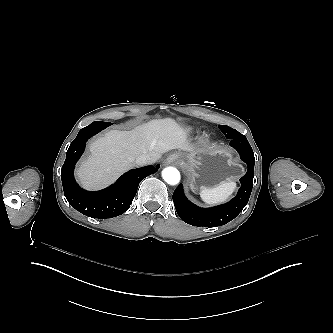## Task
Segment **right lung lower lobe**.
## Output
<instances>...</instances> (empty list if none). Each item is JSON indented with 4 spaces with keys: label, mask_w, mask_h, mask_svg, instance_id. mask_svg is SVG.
Here are the masks:
<instances>
[{
    "label": "right lung lower lobe",
    "mask_w": 333,
    "mask_h": 333,
    "mask_svg": "<svg viewBox=\"0 0 333 333\" xmlns=\"http://www.w3.org/2000/svg\"><path fill=\"white\" fill-rule=\"evenodd\" d=\"M109 125V122L95 121L82 128L70 144L61 170L64 195L70 205L86 216L100 219L123 214L130 207L139 183L160 167L157 165L132 169L123 174L115 184L101 191L89 192L80 188L74 179V166L82 155L87 140Z\"/></svg>",
    "instance_id": "1"
}]
</instances>
